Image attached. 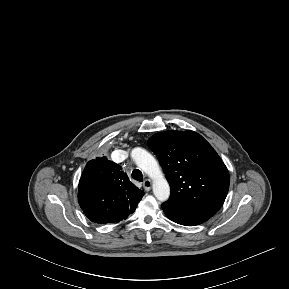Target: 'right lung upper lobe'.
I'll list each match as a JSON object with an SVG mask.
<instances>
[{"mask_svg":"<svg viewBox=\"0 0 289 289\" xmlns=\"http://www.w3.org/2000/svg\"><path fill=\"white\" fill-rule=\"evenodd\" d=\"M144 191L132 184L122 167L106 157L90 160L80 178L78 202L95 223H115L134 212Z\"/></svg>","mask_w":289,"mask_h":289,"instance_id":"1","label":"right lung upper lobe"}]
</instances>
